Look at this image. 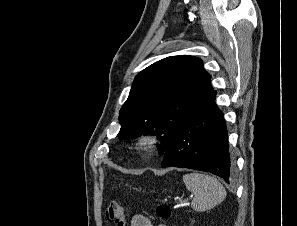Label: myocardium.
Segmentation results:
<instances>
[{
	"label": "myocardium",
	"instance_id": "obj_1",
	"mask_svg": "<svg viewBox=\"0 0 297 226\" xmlns=\"http://www.w3.org/2000/svg\"><path fill=\"white\" fill-rule=\"evenodd\" d=\"M160 143L159 137L154 133H142L136 139V145L142 152L153 151Z\"/></svg>",
	"mask_w": 297,
	"mask_h": 226
}]
</instances>
